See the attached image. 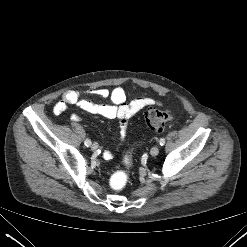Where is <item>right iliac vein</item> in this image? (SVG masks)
<instances>
[{"label":"right iliac vein","instance_id":"obj_1","mask_svg":"<svg viewBox=\"0 0 247 247\" xmlns=\"http://www.w3.org/2000/svg\"><path fill=\"white\" fill-rule=\"evenodd\" d=\"M98 149V144L97 143H93L92 145H91V150L92 151H96Z\"/></svg>","mask_w":247,"mask_h":247}]
</instances>
